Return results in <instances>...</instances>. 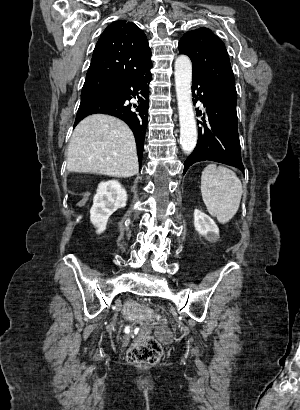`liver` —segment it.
Instances as JSON below:
<instances>
[{"mask_svg": "<svg viewBox=\"0 0 300 410\" xmlns=\"http://www.w3.org/2000/svg\"><path fill=\"white\" fill-rule=\"evenodd\" d=\"M67 170L113 177H131L139 165L135 138L120 119L95 114L74 129L67 150Z\"/></svg>", "mask_w": 300, "mask_h": 410, "instance_id": "liver-1", "label": "liver"}]
</instances>
